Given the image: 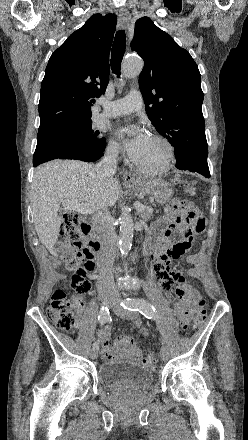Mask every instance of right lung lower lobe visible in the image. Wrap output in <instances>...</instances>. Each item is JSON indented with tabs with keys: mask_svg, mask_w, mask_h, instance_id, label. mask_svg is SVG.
<instances>
[{
	"mask_svg": "<svg viewBox=\"0 0 248 440\" xmlns=\"http://www.w3.org/2000/svg\"><path fill=\"white\" fill-rule=\"evenodd\" d=\"M106 146V143L102 150L98 153L96 152H67V153H59L47 148H36L34 157H33V166L36 167L39 164H42L47 161H51L54 159H75L86 162H94L100 159L103 156V151Z\"/></svg>",
	"mask_w": 248,
	"mask_h": 440,
	"instance_id": "right-lung-lower-lobe-1",
	"label": "right lung lower lobe"
}]
</instances>
